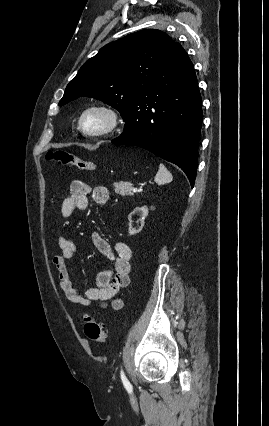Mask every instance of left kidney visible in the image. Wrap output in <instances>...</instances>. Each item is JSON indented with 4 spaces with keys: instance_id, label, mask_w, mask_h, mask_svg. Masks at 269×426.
Masks as SVG:
<instances>
[{
    "instance_id": "obj_1",
    "label": "left kidney",
    "mask_w": 269,
    "mask_h": 426,
    "mask_svg": "<svg viewBox=\"0 0 269 426\" xmlns=\"http://www.w3.org/2000/svg\"><path fill=\"white\" fill-rule=\"evenodd\" d=\"M138 216L137 220L133 219V216ZM148 215V207L146 205L142 207H136L133 212H131L128 216L129 219V229L128 232L130 235H134L139 233L142 230V227L144 226V220L146 216ZM139 223L141 226H139Z\"/></svg>"
}]
</instances>
